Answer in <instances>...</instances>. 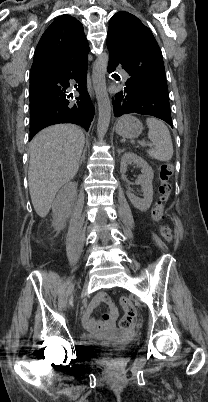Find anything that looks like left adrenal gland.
<instances>
[{
	"label": "left adrenal gland",
	"mask_w": 208,
	"mask_h": 402,
	"mask_svg": "<svg viewBox=\"0 0 208 402\" xmlns=\"http://www.w3.org/2000/svg\"><path fill=\"white\" fill-rule=\"evenodd\" d=\"M118 154H121V152H123V150H117Z\"/></svg>",
	"instance_id": "obj_1"
}]
</instances>
